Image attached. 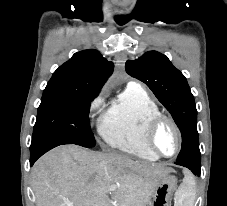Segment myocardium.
<instances>
[{
	"label": "myocardium",
	"mask_w": 227,
	"mask_h": 206,
	"mask_svg": "<svg viewBox=\"0 0 227 206\" xmlns=\"http://www.w3.org/2000/svg\"><path fill=\"white\" fill-rule=\"evenodd\" d=\"M163 123H168L174 130L176 137H177V147L176 150L173 154L171 155H165L161 153L154 142V136L157 131V129L160 127L161 124ZM144 142L147 146V148L156 156L159 158H172L176 156L182 147V134L180 131L179 126L177 123L174 121L173 118H171L168 115H165L163 113H158L154 116H152L146 123L145 129H144Z\"/></svg>",
	"instance_id": "obj_1"
}]
</instances>
